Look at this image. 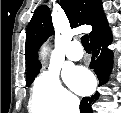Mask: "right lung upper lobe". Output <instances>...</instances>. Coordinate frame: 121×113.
<instances>
[{
  "instance_id": "1",
  "label": "right lung upper lobe",
  "mask_w": 121,
  "mask_h": 113,
  "mask_svg": "<svg viewBox=\"0 0 121 113\" xmlns=\"http://www.w3.org/2000/svg\"><path fill=\"white\" fill-rule=\"evenodd\" d=\"M60 6L65 11L71 28L84 24L92 26L90 39L108 27L100 0H61ZM52 33L50 9L46 5L39 6L35 10L26 32L27 75L41 68L37 50Z\"/></svg>"
}]
</instances>
